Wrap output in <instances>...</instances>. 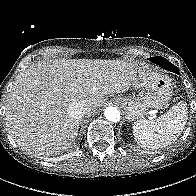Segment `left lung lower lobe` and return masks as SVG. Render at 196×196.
I'll use <instances>...</instances> for the list:
<instances>
[{"label": "left lung lower lobe", "instance_id": "0a47b994", "mask_svg": "<svg viewBox=\"0 0 196 196\" xmlns=\"http://www.w3.org/2000/svg\"><path fill=\"white\" fill-rule=\"evenodd\" d=\"M177 74H180L179 71L176 72Z\"/></svg>", "mask_w": 196, "mask_h": 196}]
</instances>
